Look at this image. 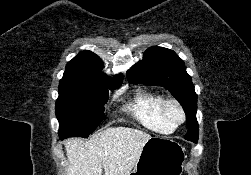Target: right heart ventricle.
Listing matches in <instances>:
<instances>
[{
	"label": "right heart ventricle",
	"instance_id": "obj_1",
	"mask_svg": "<svg viewBox=\"0 0 251 175\" xmlns=\"http://www.w3.org/2000/svg\"><path fill=\"white\" fill-rule=\"evenodd\" d=\"M163 95L147 90H138L126 104L125 110L145 129L158 134H173L175 129L165 122L160 114Z\"/></svg>",
	"mask_w": 251,
	"mask_h": 175
}]
</instances>
